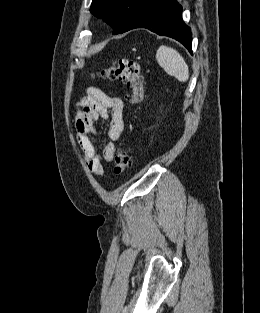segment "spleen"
<instances>
[{
	"label": "spleen",
	"instance_id": "obj_1",
	"mask_svg": "<svg viewBox=\"0 0 260 313\" xmlns=\"http://www.w3.org/2000/svg\"><path fill=\"white\" fill-rule=\"evenodd\" d=\"M156 59L165 72L181 82L189 78V68L184 58L173 48L160 46L156 53Z\"/></svg>",
	"mask_w": 260,
	"mask_h": 313
}]
</instances>
